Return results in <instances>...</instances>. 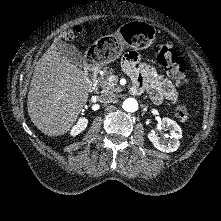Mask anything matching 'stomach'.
I'll list each match as a JSON object with an SVG mask.
<instances>
[{"label":"stomach","instance_id":"1","mask_svg":"<svg viewBox=\"0 0 221 221\" xmlns=\"http://www.w3.org/2000/svg\"><path fill=\"white\" fill-rule=\"evenodd\" d=\"M153 26L137 21L130 22L112 37L103 36L92 44L85 53V58L96 65L103 66L120 57L123 47L130 44L135 49L145 50L155 39Z\"/></svg>","mask_w":221,"mask_h":221}]
</instances>
